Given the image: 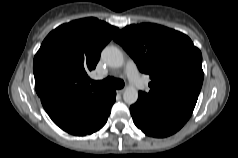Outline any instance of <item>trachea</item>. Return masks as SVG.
<instances>
[{"label":"trachea","mask_w":238,"mask_h":158,"mask_svg":"<svg viewBox=\"0 0 238 158\" xmlns=\"http://www.w3.org/2000/svg\"><path fill=\"white\" fill-rule=\"evenodd\" d=\"M96 86H103L115 89H121L124 87V81L121 79H116L113 77H107L103 81H93L92 82Z\"/></svg>","instance_id":"trachea-1"}]
</instances>
